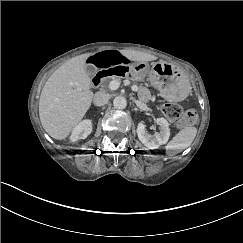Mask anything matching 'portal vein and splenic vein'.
Listing matches in <instances>:
<instances>
[{"instance_id": "obj_1", "label": "portal vein and splenic vein", "mask_w": 243, "mask_h": 243, "mask_svg": "<svg viewBox=\"0 0 243 243\" xmlns=\"http://www.w3.org/2000/svg\"><path fill=\"white\" fill-rule=\"evenodd\" d=\"M119 86H120V82H118L117 80H112V81L110 82V84H109V88H110L111 90H116V89L119 88ZM131 89H132L133 91H138V87H137L136 85H132V86H131Z\"/></svg>"}]
</instances>
